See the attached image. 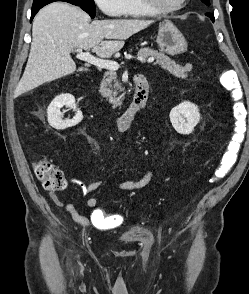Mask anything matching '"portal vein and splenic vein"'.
Segmentation results:
<instances>
[{"mask_svg":"<svg viewBox=\"0 0 249 294\" xmlns=\"http://www.w3.org/2000/svg\"><path fill=\"white\" fill-rule=\"evenodd\" d=\"M76 57L80 60L91 63L97 67H100V68H106V69L113 70V71L118 70V68H119V64L117 62L112 61V60H105V59L96 58L93 55H91L88 51L82 52L81 49L77 50ZM138 59L142 62L145 61L144 57H139ZM154 60H155L154 57H150L147 60V62L152 63V62H154Z\"/></svg>","mask_w":249,"mask_h":294,"instance_id":"1","label":"portal vein and splenic vein"}]
</instances>
